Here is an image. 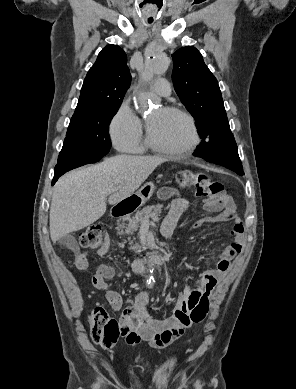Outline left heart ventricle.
<instances>
[{"mask_svg": "<svg viewBox=\"0 0 296 389\" xmlns=\"http://www.w3.org/2000/svg\"><path fill=\"white\" fill-rule=\"evenodd\" d=\"M153 140L164 147L178 149L191 139V130L185 118L178 114L155 110L147 119Z\"/></svg>", "mask_w": 296, "mask_h": 389, "instance_id": "obj_1", "label": "left heart ventricle"}]
</instances>
